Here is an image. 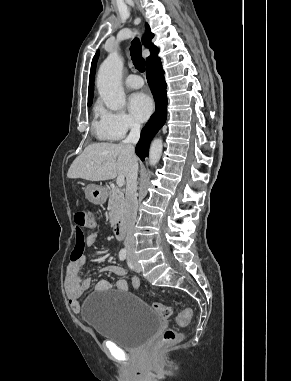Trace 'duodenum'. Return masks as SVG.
Masks as SVG:
<instances>
[{
  "label": "duodenum",
  "mask_w": 291,
  "mask_h": 381,
  "mask_svg": "<svg viewBox=\"0 0 291 381\" xmlns=\"http://www.w3.org/2000/svg\"><path fill=\"white\" fill-rule=\"evenodd\" d=\"M114 234L118 240H123L126 235V222L123 218L119 219L114 226Z\"/></svg>",
  "instance_id": "410a0bca"
}]
</instances>
